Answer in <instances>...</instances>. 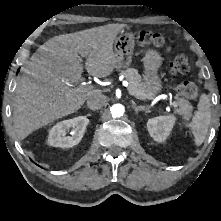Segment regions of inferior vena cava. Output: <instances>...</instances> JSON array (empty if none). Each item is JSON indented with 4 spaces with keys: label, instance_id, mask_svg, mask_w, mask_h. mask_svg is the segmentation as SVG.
I'll list each match as a JSON object with an SVG mask.
<instances>
[{
    "label": "inferior vena cava",
    "instance_id": "obj_1",
    "mask_svg": "<svg viewBox=\"0 0 221 221\" xmlns=\"http://www.w3.org/2000/svg\"><path fill=\"white\" fill-rule=\"evenodd\" d=\"M106 104H107V98L103 94L91 96L87 100V106L92 110L101 109Z\"/></svg>",
    "mask_w": 221,
    "mask_h": 221
}]
</instances>
